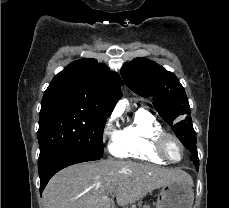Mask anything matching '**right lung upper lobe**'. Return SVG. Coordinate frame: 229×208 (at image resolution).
Instances as JSON below:
<instances>
[{"label":"right lung upper lobe","mask_w":229,"mask_h":208,"mask_svg":"<svg viewBox=\"0 0 229 208\" xmlns=\"http://www.w3.org/2000/svg\"><path fill=\"white\" fill-rule=\"evenodd\" d=\"M123 81L115 72L95 59H81L57 74L44 92L42 103L62 102L77 105L92 115L110 116L121 97Z\"/></svg>","instance_id":"obj_1"}]
</instances>
